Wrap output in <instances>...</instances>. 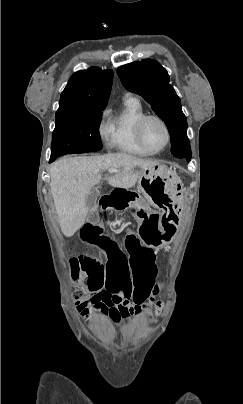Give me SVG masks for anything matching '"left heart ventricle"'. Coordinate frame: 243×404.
Listing matches in <instances>:
<instances>
[{
	"mask_svg": "<svg viewBox=\"0 0 243 404\" xmlns=\"http://www.w3.org/2000/svg\"><path fill=\"white\" fill-rule=\"evenodd\" d=\"M143 136L146 142L155 149H160L165 146L167 142V132L156 119H150L143 127Z\"/></svg>",
	"mask_w": 243,
	"mask_h": 404,
	"instance_id": "left-heart-ventricle-1",
	"label": "left heart ventricle"
}]
</instances>
